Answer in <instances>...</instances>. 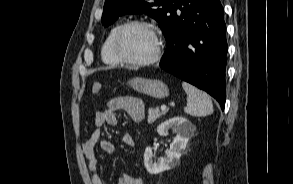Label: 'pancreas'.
<instances>
[{"mask_svg": "<svg viewBox=\"0 0 293 184\" xmlns=\"http://www.w3.org/2000/svg\"><path fill=\"white\" fill-rule=\"evenodd\" d=\"M162 113L158 108H149L148 110V123L152 124L158 119Z\"/></svg>", "mask_w": 293, "mask_h": 184, "instance_id": "1", "label": "pancreas"}]
</instances>
